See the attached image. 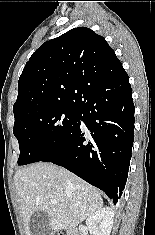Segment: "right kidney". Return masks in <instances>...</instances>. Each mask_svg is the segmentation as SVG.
I'll return each mask as SVG.
<instances>
[{
  "mask_svg": "<svg viewBox=\"0 0 155 235\" xmlns=\"http://www.w3.org/2000/svg\"><path fill=\"white\" fill-rule=\"evenodd\" d=\"M114 222V211L111 208H101L86 220L90 235H110Z\"/></svg>",
  "mask_w": 155,
  "mask_h": 235,
  "instance_id": "1",
  "label": "right kidney"
}]
</instances>
